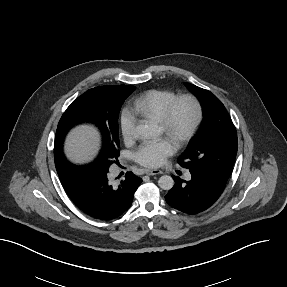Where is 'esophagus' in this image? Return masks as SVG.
Returning a JSON list of instances; mask_svg holds the SVG:
<instances>
[{
    "label": "esophagus",
    "mask_w": 287,
    "mask_h": 287,
    "mask_svg": "<svg viewBox=\"0 0 287 287\" xmlns=\"http://www.w3.org/2000/svg\"><path fill=\"white\" fill-rule=\"evenodd\" d=\"M163 172L161 170H146L145 174L147 175H158V174H162Z\"/></svg>",
    "instance_id": "34e87169"
}]
</instances>
